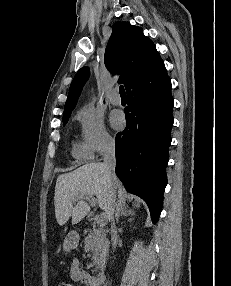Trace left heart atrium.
<instances>
[{
  "label": "left heart atrium",
  "instance_id": "left-heart-atrium-1",
  "mask_svg": "<svg viewBox=\"0 0 231 286\" xmlns=\"http://www.w3.org/2000/svg\"><path fill=\"white\" fill-rule=\"evenodd\" d=\"M111 125L114 129H121L124 125V117L121 113L115 112L110 117Z\"/></svg>",
  "mask_w": 231,
  "mask_h": 286
}]
</instances>
